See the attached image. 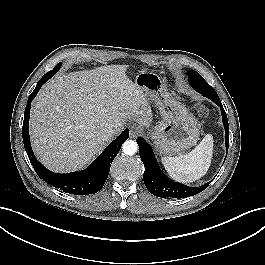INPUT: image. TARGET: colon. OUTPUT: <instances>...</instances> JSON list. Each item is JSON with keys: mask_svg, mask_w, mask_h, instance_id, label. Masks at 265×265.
Masks as SVG:
<instances>
[{"mask_svg": "<svg viewBox=\"0 0 265 265\" xmlns=\"http://www.w3.org/2000/svg\"><path fill=\"white\" fill-rule=\"evenodd\" d=\"M195 108H196V111H197V114L200 116V117H206L207 116V114H208V109H207V107L205 106V105H203V104H197L196 106H195Z\"/></svg>", "mask_w": 265, "mask_h": 265, "instance_id": "1", "label": "colon"}]
</instances>
